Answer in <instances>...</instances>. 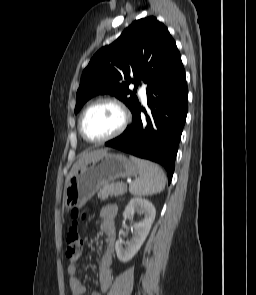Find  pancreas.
<instances>
[{"instance_id":"cf45deb5","label":"pancreas","mask_w":256,"mask_h":295,"mask_svg":"<svg viewBox=\"0 0 256 295\" xmlns=\"http://www.w3.org/2000/svg\"><path fill=\"white\" fill-rule=\"evenodd\" d=\"M127 192V185L123 182H116V183H111L108 185H104L99 193L98 197L101 198L102 200L107 199L109 196H120L123 195Z\"/></svg>"}]
</instances>
